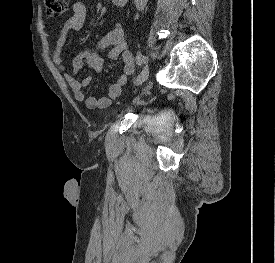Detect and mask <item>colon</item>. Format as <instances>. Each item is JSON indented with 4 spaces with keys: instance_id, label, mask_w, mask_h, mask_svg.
<instances>
[{
    "instance_id": "5ec220e1",
    "label": "colon",
    "mask_w": 275,
    "mask_h": 263,
    "mask_svg": "<svg viewBox=\"0 0 275 263\" xmlns=\"http://www.w3.org/2000/svg\"><path fill=\"white\" fill-rule=\"evenodd\" d=\"M47 13L54 17H59L67 12L69 0H44Z\"/></svg>"
}]
</instances>
